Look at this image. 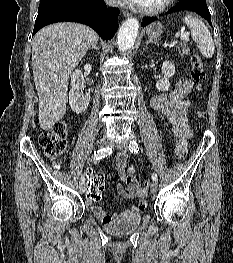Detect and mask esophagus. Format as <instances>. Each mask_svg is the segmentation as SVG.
<instances>
[{"instance_id": "obj_1", "label": "esophagus", "mask_w": 233, "mask_h": 263, "mask_svg": "<svg viewBox=\"0 0 233 263\" xmlns=\"http://www.w3.org/2000/svg\"><path fill=\"white\" fill-rule=\"evenodd\" d=\"M123 15L125 17H131L132 16V14L130 12H128V11H123Z\"/></svg>"}]
</instances>
